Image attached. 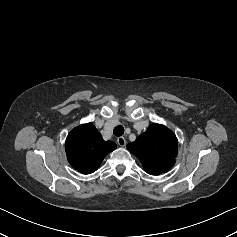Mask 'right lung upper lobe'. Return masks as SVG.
<instances>
[{
    "label": "right lung upper lobe",
    "mask_w": 237,
    "mask_h": 237,
    "mask_svg": "<svg viewBox=\"0 0 237 237\" xmlns=\"http://www.w3.org/2000/svg\"><path fill=\"white\" fill-rule=\"evenodd\" d=\"M66 154L71 166L82 174L97 170L104 157L116 149L112 141H104L91 123L74 128L66 139Z\"/></svg>",
    "instance_id": "obj_1"
}]
</instances>
